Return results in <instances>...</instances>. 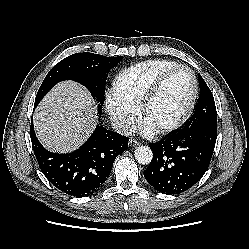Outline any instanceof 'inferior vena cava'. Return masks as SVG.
<instances>
[{
	"label": "inferior vena cava",
	"instance_id": "602c4592",
	"mask_svg": "<svg viewBox=\"0 0 249 249\" xmlns=\"http://www.w3.org/2000/svg\"><path fill=\"white\" fill-rule=\"evenodd\" d=\"M111 126L115 132L121 135H126V136H130L134 134L136 130L134 125H131L128 122L119 121V120L112 121Z\"/></svg>",
	"mask_w": 249,
	"mask_h": 249
}]
</instances>
